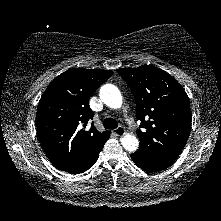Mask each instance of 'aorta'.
<instances>
[{
  "instance_id": "aorta-1",
  "label": "aorta",
  "mask_w": 221,
  "mask_h": 221,
  "mask_svg": "<svg viewBox=\"0 0 221 221\" xmlns=\"http://www.w3.org/2000/svg\"><path fill=\"white\" fill-rule=\"evenodd\" d=\"M99 96L103 103L110 108L118 109L122 106V95L120 90L112 84H105L101 87ZM124 149L128 151H136L139 146L138 139L131 134L125 135L121 139Z\"/></svg>"
}]
</instances>
